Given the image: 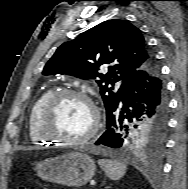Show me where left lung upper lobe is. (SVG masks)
<instances>
[{"label": "left lung upper lobe", "mask_w": 188, "mask_h": 189, "mask_svg": "<svg viewBox=\"0 0 188 189\" xmlns=\"http://www.w3.org/2000/svg\"><path fill=\"white\" fill-rule=\"evenodd\" d=\"M155 59L141 31L124 20H107L81 33L74 40L63 43L44 67L43 74H69L81 79H95L106 108L107 118L115 111L123 97L124 87L131 76L147 67ZM107 66L108 72H99ZM122 80L120 89L114 85ZM166 125L151 124L131 130L126 147H146L152 152H161L165 140Z\"/></svg>", "instance_id": "left-lung-upper-lobe-1"}]
</instances>
